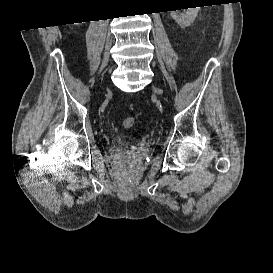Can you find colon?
Masks as SVG:
<instances>
[{"mask_svg": "<svg viewBox=\"0 0 273 273\" xmlns=\"http://www.w3.org/2000/svg\"><path fill=\"white\" fill-rule=\"evenodd\" d=\"M135 125V119L134 117H126L123 120V126L126 129H130Z\"/></svg>", "mask_w": 273, "mask_h": 273, "instance_id": "colon-1", "label": "colon"}]
</instances>
